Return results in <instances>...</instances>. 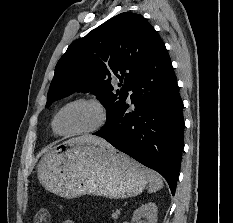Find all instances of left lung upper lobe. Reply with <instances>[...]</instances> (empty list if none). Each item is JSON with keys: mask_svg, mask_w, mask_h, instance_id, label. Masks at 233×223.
Here are the masks:
<instances>
[{"mask_svg": "<svg viewBox=\"0 0 233 223\" xmlns=\"http://www.w3.org/2000/svg\"><path fill=\"white\" fill-rule=\"evenodd\" d=\"M159 39L140 14L124 12L113 17L68 47L56 65L45 107L74 92H91L106 108L109 123L125 105L127 91ZM115 77L122 84L113 93L110 81Z\"/></svg>", "mask_w": 233, "mask_h": 223, "instance_id": "obj_1", "label": "left lung upper lobe"}]
</instances>
